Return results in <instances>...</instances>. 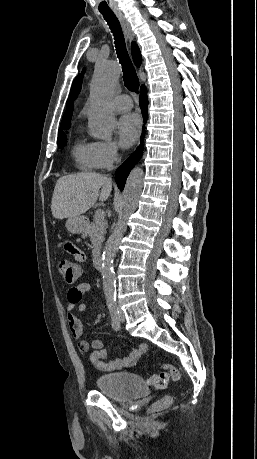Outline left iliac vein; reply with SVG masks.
I'll return each mask as SVG.
<instances>
[{
	"label": "left iliac vein",
	"mask_w": 257,
	"mask_h": 459,
	"mask_svg": "<svg viewBox=\"0 0 257 459\" xmlns=\"http://www.w3.org/2000/svg\"><path fill=\"white\" fill-rule=\"evenodd\" d=\"M119 319L121 322H124L125 320V315H124V312L122 310H119Z\"/></svg>",
	"instance_id": "1"
}]
</instances>
